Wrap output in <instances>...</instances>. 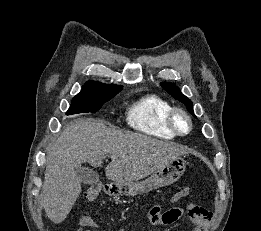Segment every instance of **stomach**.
Masks as SVG:
<instances>
[{
    "instance_id": "0dacf381",
    "label": "stomach",
    "mask_w": 261,
    "mask_h": 231,
    "mask_svg": "<svg viewBox=\"0 0 261 231\" xmlns=\"http://www.w3.org/2000/svg\"><path fill=\"white\" fill-rule=\"evenodd\" d=\"M185 168L186 161L183 157L178 156L143 181H133L126 184L114 183L110 185V189L117 196H136L148 193L178 181L184 174Z\"/></svg>"
}]
</instances>
